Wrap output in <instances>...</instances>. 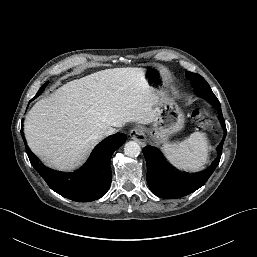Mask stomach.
<instances>
[{
    "label": "stomach",
    "mask_w": 257,
    "mask_h": 257,
    "mask_svg": "<svg viewBox=\"0 0 257 257\" xmlns=\"http://www.w3.org/2000/svg\"><path fill=\"white\" fill-rule=\"evenodd\" d=\"M143 70L144 78L150 85L166 86L168 79L167 70L157 64H150ZM162 99L157 105V114L152 127L146 129L147 133L157 144L166 143L169 138L180 132L185 125L184 114L177 103L167 95L162 88Z\"/></svg>",
    "instance_id": "0dacf381"
}]
</instances>
